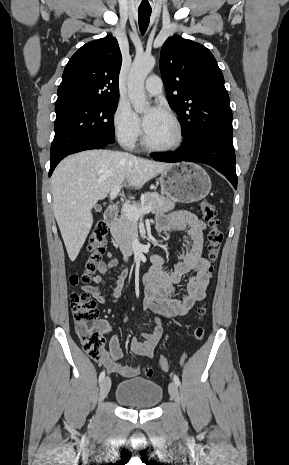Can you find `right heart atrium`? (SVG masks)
I'll use <instances>...</instances> for the list:
<instances>
[{
    "label": "right heart atrium",
    "instance_id": "right-heart-atrium-1",
    "mask_svg": "<svg viewBox=\"0 0 289 465\" xmlns=\"http://www.w3.org/2000/svg\"><path fill=\"white\" fill-rule=\"evenodd\" d=\"M114 134L124 146H133L141 135L140 121L131 107L119 102L112 115Z\"/></svg>",
    "mask_w": 289,
    "mask_h": 465
}]
</instances>
